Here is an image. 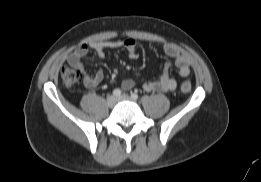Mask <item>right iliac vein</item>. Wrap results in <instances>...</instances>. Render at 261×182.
<instances>
[{
    "label": "right iliac vein",
    "mask_w": 261,
    "mask_h": 182,
    "mask_svg": "<svg viewBox=\"0 0 261 182\" xmlns=\"http://www.w3.org/2000/svg\"><path fill=\"white\" fill-rule=\"evenodd\" d=\"M116 101L117 100H116L115 96H108L107 97V106L110 108L114 107L116 104Z\"/></svg>",
    "instance_id": "63e3f726"
}]
</instances>
